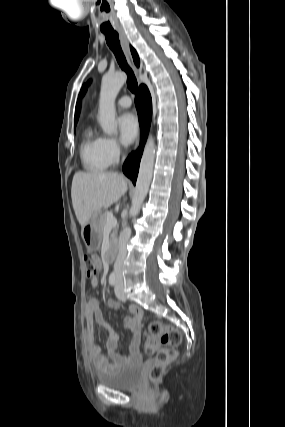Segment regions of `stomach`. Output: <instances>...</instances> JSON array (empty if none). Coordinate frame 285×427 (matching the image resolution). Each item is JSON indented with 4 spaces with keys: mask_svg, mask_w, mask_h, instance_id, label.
<instances>
[{
    "mask_svg": "<svg viewBox=\"0 0 285 427\" xmlns=\"http://www.w3.org/2000/svg\"><path fill=\"white\" fill-rule=\"evenodd\" d=\"M100 212L93 213L91 219L82 228L81 234L86 246L91 250H96L101 244V232L98 228Z\"/></svg>",
    "mask_w": 285,
    "mask_h": 427,
    "instance_id": "obj_1",
    "label": "stomach"
}]
</instances>
